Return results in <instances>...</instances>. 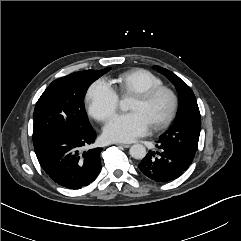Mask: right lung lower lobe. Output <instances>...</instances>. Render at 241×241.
<instances>
[{"label":"right lung lower lobe","mask_w":241,"mask_h":241,"mask_svg":"<svg viewBox=\"0 0 241 241\" xmlns=\"http://www.w3.org/2000/svg\"><path fill=\"white\" fill-rule=\"evenodd\" d=\"M91 128L82 133H62L34 146L38 161L47 175L57 184L80 189L93 182L101 171V148L83 151L94 143Z\"/></svg>","instance_id":"98d812e1"}]
</instances>
